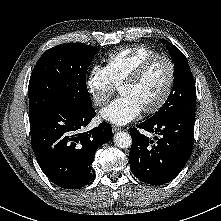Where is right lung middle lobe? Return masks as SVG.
Returning <instances> with one entry per match:
<instances>
[{"instance_id": "obj_1", "label": "right lung middle lobe", "mask_w": 221, "mask_h": 221, "mask_svg": "<svg viewBox=\"0 0 221 221\" xmlns=\"http://www.w3.org/2000/svg\"><path fill=\"white\" fill-rule=\"evenodd\" d=\"M98 48L66 43L45 51L36 63L28 86L30 118L52 105L76 110L91 107L86 72Z\"/></svg>"}]
</instances>
